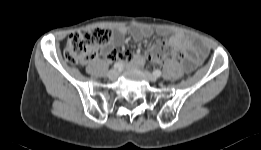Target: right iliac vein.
I'll list each match as a JSON object with an SVG mask.
<instances>
[{
    "instance_id": "right-iliac-vein-1",
    "label": "right iliac vein",
    "mask_w": 261,
    "mask_h": 150,
    "mask_svg": "<svg viewBox=\"0 0 261 150\" xmlns=\"http://www.w3.org/2000/svg\"><path fill=\"white\" fill-rule=\"evenodd\" d=\"M118 71L116 69H112L107 73V76L111 80H115L118 77Z\"/></svg>"
}]
</instances>
